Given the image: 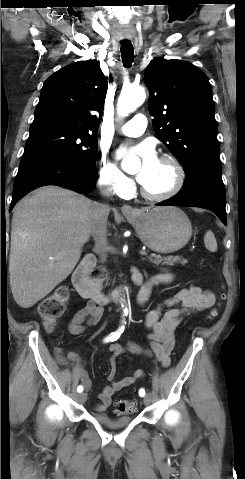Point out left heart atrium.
<instances>
[{
  "label": "left heart atrium",
  "mask_w": 245,
  "mask_h": 479,
  "mask_svg": "<svg viewBox=\"0 0 245 479\" xmlns=\"http://www.w3.org/2000/svg\"><path fill=\"white\" fill-rule=\"evenodd\" d=\"M131 152L135 153L140 158L141 166L136 178L140 184H144L157 165L158 158L154 149L147 143L138 145L133 148ZM124 153L125 150H120L118 155L122 156Z\"/></svg>",
  "instance_id": "obj_1"
}]
</instances>
